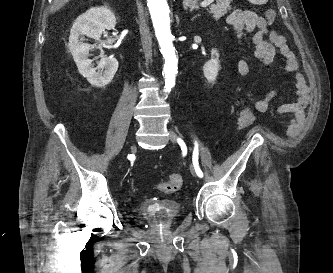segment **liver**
Segmentation results:
<instances>
[{
    "mask_svg": "<svg viewBox=\"0 0 333 273\" xmlns=\"http://www.w3.org/2000/svg\"><path fill=\"white\" fill-rule=\"evenodd\" d=\"M69 0H54L53 11H57L62 8Z\"/></svg>",
    "mask_w": 333,
    "mask_h": 273,
    "instance_id": "obj_1",
    "label": "liver"
}]
</instances>
